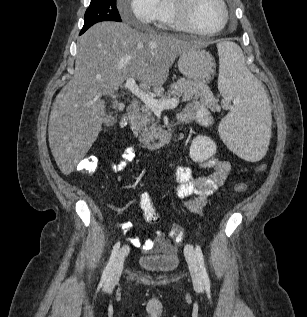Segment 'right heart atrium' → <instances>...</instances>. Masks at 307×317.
I'll list each match as a JSON object with an SVG mask.
<instances>
[{"label": "right heart atrium", "instance_id": "obj_1", "mask_svg": "<svg viewBox=\"0 0 307 317\" xmlns=\"http://www.w3.org/2000/svg\"><path fill=\"white\" fill-rule=\"evenodd\" d=\"M128 6L120 8L124 19L133 18L141 25L158 22L161 17V0H122Z\"/></svg>", "mask_w": 307, "mask_h": 317}]
</instances>
